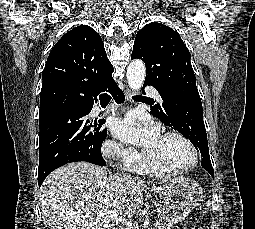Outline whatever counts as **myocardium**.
Returning <instances> with one entry per match:
<instances>
[{
  "instance_id": "myocardium-1",
  "label": "myocardium",
  "mask_w": 255,
  "mask_h": 229,
  "mask_svg": "<svg viewBox=\"0 0 255 229\" xmlns=\"http://www.w3.org/2000/svg\"><path fill=\"white\" fill-rule=\"evenodd\" d=\"M162 136L176 137L179 140H181L182 142H184L190 148L193 158L189 164H187L185 166L175 167V166H167L160 162L153 161L145 153H143L142 154L143 161L145 163H147L151 168L158 171L157 173H161V172L184 173V172H187V171L193 169L198 164L199 152H198L196 146L194 145V143L185 134L178 132V131H174V130H168V131H164L162 133Z\"/></svg>"
}]
</instances>
